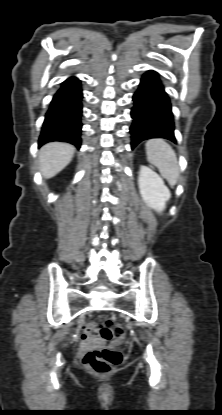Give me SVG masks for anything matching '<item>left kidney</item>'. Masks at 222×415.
Masks as SVG:
<instances>
[{
    "instance_id": "left-kidney-1",
    "label": "left kidney",
    "mask_w": 222,
    "mask_h": 415,
    "mask_svg": "<svg viewBox=\"0 0 222 415\" xmlns=\"http://www.w3.org/2000/svg\"><path fill=\"white\" fill-rule=\"evenodd\" d=\"M138 185L143 201L155 211L161 213L171 194L163 179L149 167L141 166Z\"/></svg>"
}]
</instances>
